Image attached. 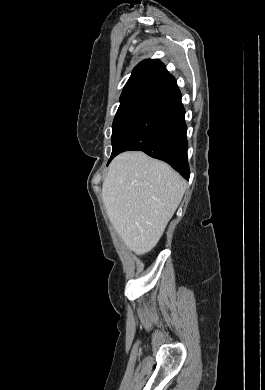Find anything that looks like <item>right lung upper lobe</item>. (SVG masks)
Listing matches in <instances>:
<instances>
[{"mask_svg":"<svg viewBox=\"0 0 265 390\" xmlns=\"http://www.w3.org/2000/svg\"><path fill=\"white\" fill-rule=\"evenodd\" d=\"M176 86L175 78L168 73L162 62L157 59L144 60L132 71L120 101L132 98L156 100Z\"/></svg>","mask_w":265,"mask_h":390,"instance_id":"right-lung-upper-lobe-1","label":"right lung upper lobe"}]
</instances>
